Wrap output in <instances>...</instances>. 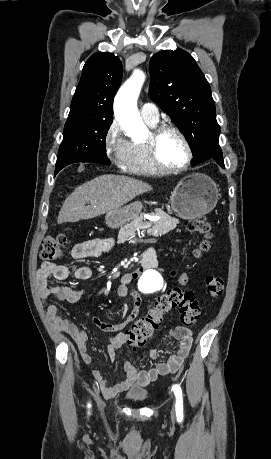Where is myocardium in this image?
<instances>
[{
	"label": "myocardium",
	"mask_w": 271,
	"mask_h": 459,
	"mask_svg": "<svg viewBox=\"0 0 271 459\" xmlns=\"http://www.w3.org/2000/svg\"><path fill=\"white\" fill-rule=\"evenodd\" d=\"M167 132H175L177 133L184 141L186 147H187V159L179 165H168L166 164L160 155L159 152V142L162 136L167 133ZM149 153L151 156V159L156 166V168L162 172L166 173H176V172H181L185 169H187L194 160V149L191 144L190 139L188 138L187 134L177 125L174 124H163L160 125L151 132L150 137L146 140Z\"/></svg>",
	"instance_id": "obj_1"
}]
</instances>
